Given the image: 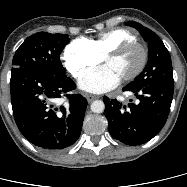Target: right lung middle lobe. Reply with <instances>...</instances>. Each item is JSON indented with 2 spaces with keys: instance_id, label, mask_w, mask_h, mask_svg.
I'll list each match as a JSON object with an SVG mask.
<instances>
[{
  "instance_id": "obj_1",
  "label": "right lung middle lobe",
  "mask_w": 187,
  "mask_h": 187,
  "mask_svg": "<svg viewBox=\"0 0 187 187\" xmlns=\"http://www.w3.org/2000/svg\"><path fill=\"white\" fill-rule=\"evenodd\" d=\"M69 42L66 34L38 32L28 37L13 57V68L43 70L54 74H65L60 54Z\"/></svg>"
}]
</instances>
